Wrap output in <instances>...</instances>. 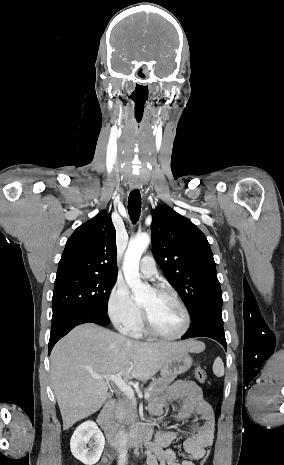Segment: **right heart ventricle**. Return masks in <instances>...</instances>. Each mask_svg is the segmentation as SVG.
<instances>
[{
    "mask_svg": "<svg viewBox=\"0 0 284 465\" xmlns=\"http://www.w3.org/2000/svg\"><path fill=\"white\" fill-rule=\"evenodd\" d=\"M142 321L141 318H139L138 320V323L134 326V327H131L130 329H128L126 332L132 336H137L139 334H141L142 330L141 328L139 327L140 326V322ZM139 325V326H138Z\"/></svg>",
    "mask_w": 284,
    "mask_h": 465,
    "instance_id": "right-heart-ventricle-1",
    "label": "right heart ventricle"
}]
</instances>
